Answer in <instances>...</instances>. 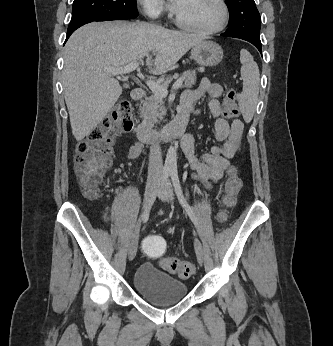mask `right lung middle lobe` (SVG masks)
I'll list each match as a JSON object with an SVG mask.
<instances>
[{"label":"right lung middle lobe","mask_w":333,"mask_h":346,"mask_svg":"<svg viewBox=\"0 0 333 346\" xmlns=\"http://www.w3.org/2000/svg\"><path fill=\"white\" fill-rule=\"evenodd\" d=\"M137 16L136 0H74L68 30L89 21L125 20Z\"/></svg>","instance_id":"1"}]
</instances>
